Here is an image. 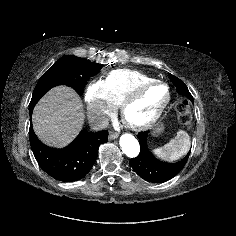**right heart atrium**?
I'll return each mask as SVG.
<instances>
[{
  "mask_svg": "<svg viewBox=\"0 0 236 236\" xmlns=\"http://www.w3.org/2000/svg\"><path fill=\"white\" fill-rule=\"evenodd\" d=\"M85 102L87 115L96 125L105 122L115 109V106L108 100L104 80L90 82L85 91Z\"/></svg>",
  "mask_w": 236,
  "mask_h": 236,
  "instance_id": "1",
  "label": "right heart atrium"
}]
</instances>
